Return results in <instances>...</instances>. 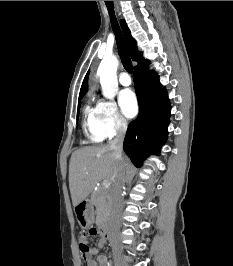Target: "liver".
I'll list each match as a JSON object with an SVG mask.
<instances>
[{"mask_svg": "<svg viewBox=\"0 0 233 266\" xmlns=\"http://www.w3.org/2000/svg\"><path fill=\"white\" fill-rule=\"evenodd\" d=\"M121 166H129L127 157L117 159L110 145L83 147L75 151L69 164V189L73 206L79 205L101 180L114 181Z\"/></svg>", "mask_w": 233, "mask_h": 266, "instance_id": "1", "label": "liver"}]
</instances>
